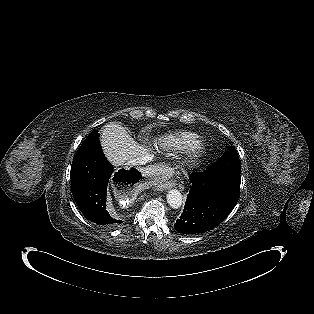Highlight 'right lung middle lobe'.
Segmentation results:
<instances>
[{
    "instance_id": "1",
    "label": "right lung middle lobe",
    "mask_w": 314,
    "mask_h": 314,
    "mask_svg": "<svg viewBox=\"0 0 314 314\" xmlns=\"http://www.w3.org/2000/svg\"><path fill=\"white\" fill-rule=\"evenodd\" d=\"M97 143H99V133H98V131L94 130L84 140V142L82 143V145L78 149L77 154H81V153L91 149Z\"/></svg>"
}]
</instances>
